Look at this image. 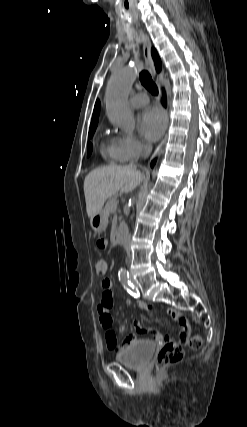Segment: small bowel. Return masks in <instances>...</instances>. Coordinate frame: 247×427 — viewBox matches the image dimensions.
Here are the masks:
<instances>
[{
	"mask_svg": "<svg viewBox=\"0 0 247 427\" xmlns=\"http://www.w3.org/2000/svg\"><path fill=\"white\" fill-rule=\"evenodd\" d=\"M107 243V240H105L104 238H100L97 241V246L99 249H105ZM101 285L103 288L102 300L97 307L99 323L100 326L105 330V341L107 348L110 351H116L120 348V346L118 344L115 332L111 329L113 319L110 312L114 305V295L112 292L113 282L111 279L106 278L102 281ZM138 306L141 309L149 310V307L143 302H138ZM167 313L174 321L179 324L181 328L179 334L180 342L186 343L191 335V327L188 323V320L184 315L174 309H168ZM134 326L138 333H149L151 335V338L157 342H172V338L170 336L163 337L157 330L145 328L141 326L138 321L134 322ZM135 340L136 335L134 333H130L124 338L123 346H129Z\"/></svg>",
	"mask_w": 247,
	"mask_h": 427,
	"instance_id": "small-bowel-1",
	"label": "small bowel"
}]
</instances>
